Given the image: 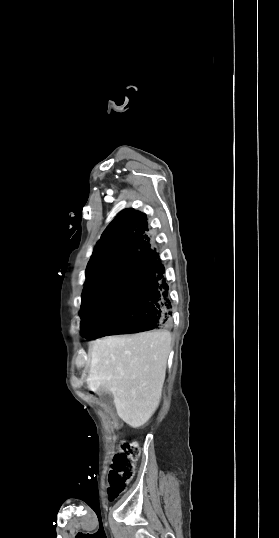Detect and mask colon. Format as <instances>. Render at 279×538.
<instances>
[{
    "label": "colon",
    "mask_w": 279,
    "mask_h": 538,
    "mask_svg": "<svg viewBox=\"0 0 279 538\" xmlns=\"http://www.w3.org/2000/svg\"><path fill=\"white\" fill-rule=\"evenodd\" d=\"M139 454L140 448L135 441H124L119 445L108 476L107 492L110 500H114L125 490L133 476Z\"/></svg>",
    "instance_id": "colon-1"
}]
</instances>
